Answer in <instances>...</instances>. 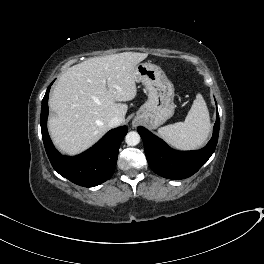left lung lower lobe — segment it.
<instances>
[{"label": "left lung lower lobe", "mask_w": 264, "mask_h": 264, "mask_svg": "<svg viewBox=\"0 0 264 264\" xmlns=\"http://www.w3.org/2000/svg\"><path fill=\"white\" fill-rule=\"evenodd\" d=\"M147 161L158 175L168 179H184L196 173L215 151L219 135V115L217 110L213 136L208 144L196 151H176L144 127H138Z\"/></svg>", "instance_id": "left-lung-lower-lobe-1"}]
</instances>
